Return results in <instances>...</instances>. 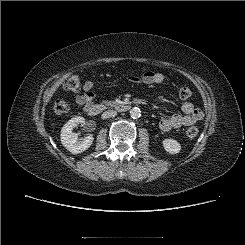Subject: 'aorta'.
<instances>
[{
    "label": "aorta",
    "mask_w": 245,
    "mask_h": 245,
    "mask_svg": "<svg viewBox=\"0 0 245 245\" xmlns=\"http://www.w3.org/2000/svg\"><path fill=\"white\" fill-rule=\"evenodd\" d=\"M130 116L133 119H137L141 116V110L138 107H134L130 110Z\"/></svg>",
    "instance_id": "aorta-1"
}]
</instances>
